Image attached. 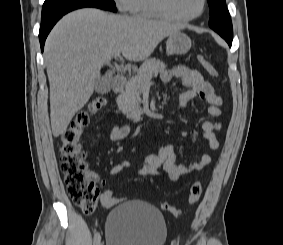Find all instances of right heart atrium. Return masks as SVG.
<instances>
[{"instance_id":"d8ad5b80","label":"right heart atrium","mask_w":283,"mask_h":245,"mask_svg":"<svg viewBox=\"0 0 283 245\" xmlns=\"http://www.w3.org/2000/svg\"><path fill=\"white\" fill-rule=\"evenodd\" d=\"M118 9L122 12H126L130 8L131 0H114Z\"/></svg>"}]
</instances>
